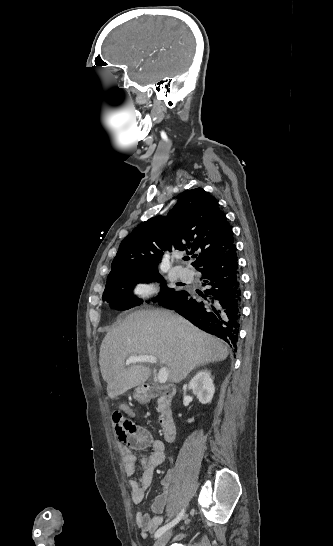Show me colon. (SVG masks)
I'll return each instance as SVG.
<instances>
[{
    "label": "colon",
    "mask_w": 333,
    "mask_h": 546,
    "mask_svg": "<svg viewBox=\"0 0 333 546\" xmlns=\"http://www.w3.org/2000/svg\"><path fill=\"white\" fill-rule=\"evenodd\" d=\"M112 422L120 443L128 444L130 441V435L135 429V425L126 419L123 413L119 410L113 412Z\"/></svg>",
    "instance_id": "obj_1"
}]
</instances>
